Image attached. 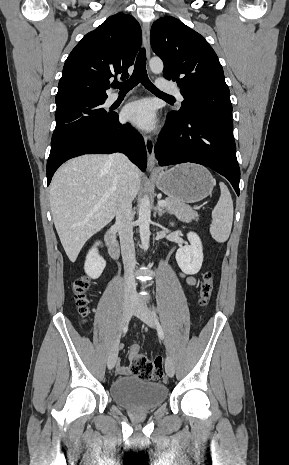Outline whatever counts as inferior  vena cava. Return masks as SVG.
Segmentation results:
<instances>
[{
  "label": "inferior vena cava",
  "mask_w": 289,
  "mask_h": 465,
  "mask_svg": "<svg viewBox=\"0 0 289 465\" xmlns=\"http://www.w3.org/2000/svg\"><path fill=\"white\" fill-rule=\"evenodd\" d=\"M109 161L113 164L119 178V198L115 225L120 237L121 253L125 270V300H128L136 296V282L134 277L136 260L133 242L132 200L129 195L126 174L129 160L122 153H114L110 155Z\"/></svg>",
  "instance_id": "obj_1"
}]
</instances>
